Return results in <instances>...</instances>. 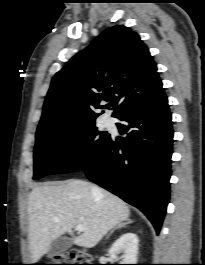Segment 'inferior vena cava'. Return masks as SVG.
<instances>
[{"mask_svg":"<svg viewBox=\"0 0 205 265\" xmlns=\"http://www.w3.org/2000/svg\"><path fill=\"white\" fill-rule=\"evenodd\" d=\"M93 190L96 191V190H97V187L94 186V187H93Z\"/></svg>","mask_w":205,"mask_h":265,"instance_id":"inferior-vena-cava-1","label":"inferior vena cava"}]
</instances>
